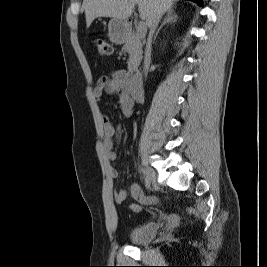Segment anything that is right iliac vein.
I'll use <instances>...</instances> for the list:
<instances>
[{
  "label": "right iliac vein",
  "instance_id": "63e3f726",
  "mask_svg": "<svg viewBox=\"0 0 267 267\" xmlns=\"http://www.w3.org/2000/svg\"><path fill=\"white\" fill-rule=\"evenodd\" d=\"M144 172H145L146 176L150 179V181L153 184L157 185V177H156L155 172L150 168H145Z\"/></svg>",
  "mask_w": 267,
  "mask_h": 267
}]
</instances>
